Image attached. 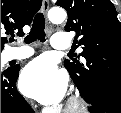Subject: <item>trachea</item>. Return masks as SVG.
Returning <instances> with one entry per match:
<instances>
[{"label": "trachea", "mask_w": 121, "mask_h": 113, "mask_svg": "<svg viewBox=\"0 0 121 113\" xmlns=\"http://www.w3.org/2000/svg\"><path fill=\"white\" fill-rule=\"evenodd\" d=\"M45 21H44V16L42 13H37L32 24L31 31L29 35L25 38V43L29 44L36 39L40 40L41 42H45ZM10 42H13L14 39L11 38L9 39Z\"/></svg>", "instance_id": "3493384b"}]
</instances>
